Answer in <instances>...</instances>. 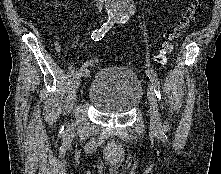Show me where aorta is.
<instances>
[{
    "label": "aorta",
    "mask_w": 221,
    "mask_h": 174,
    "mask_svg": "<svg viewBox=\"0 0 221 174\" xmlns=\"http://www.w3.org/2000/svg\"><path fill=\"white\" fill-rule=\"evenodd\" d=\"M109 19L122 21L131 17L134 10V0H105Z\"/></svg>",
    "instance_id": "762f6f07"
}]
</instances>
